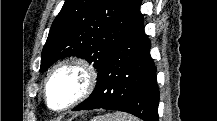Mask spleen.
I'll use <instances>...</instances> for the list:
<instances>
[{"label":"spleen","instance_id":"3e777b00","mask_svg":"<svg viewBox=\"0 0 217 121\" xmlns=\"http://www.w3.org/2000/svg\"><path fill=\"white\" fill-rule=\"evenodd\" d=\"M93 121H136L134 118L130 117L125 113H112L106 114L104 116L96 117Z\"/></svg>","mask_w":217,"mask_h":121}]
</instances>
